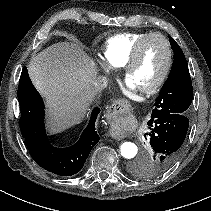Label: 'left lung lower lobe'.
<instances>
[{
  "mask_svg": "<svg viewBox=\"0 0 211 211\" xmlns=\"http://www.w3.org/2000/svg\"><path fill=\"white\" fill-rule=\"evenodd\" d=\"M150 131L144 135L150 146L152 158L146 164L150 177L167 170L179 157L189 127L186 115L161 113L151 116Z\"/></svg>",
  "mask_w": 211,
  "mask_h": 211,
  "instance_id": "left-lung-lower-lobe-1",
  "label": "left lung lower lobe"
}]
</instances>
